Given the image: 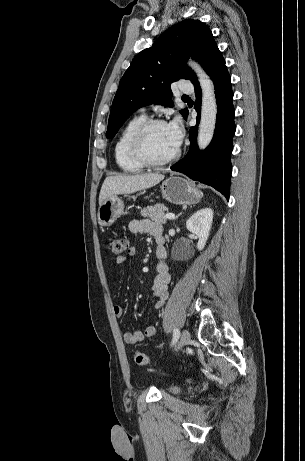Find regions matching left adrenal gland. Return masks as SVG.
Segmentation results:
<instances>
[{
	"label": "left adrenal gland",
	"instance_id": "left-adrenal-gland-1",
	"mask_svg": "<svg viewBox=\"0 0 305 461\" xmlns=\"http://www.w3.org/2000/svg\"><path fill=\"white\" fill-rule=\"evenodd\" d=\"M181 214H182V213H180L178 216H176V218H175V219H177V218H178V217H179Z\"/></svg>",
	"mask_w": 305,
	"mask_h": 461
}]
</instances>
